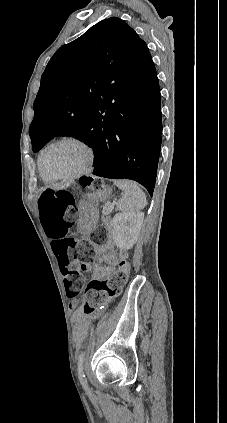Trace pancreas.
<instances>
[{
  "label": "pancreas",
  "instance_id": "cf45deb5",
  "mask_svg": "<svg viewBox=\"0 0 227 423\" xmlns=\"http://www.w3.org/2000/svg\"><path fill=\"white\" fill-rule=\"evenodd\" d=\"M111 210H109L108 206H103L102 213H110Z\"/></svg>",
  "mask_w": 227,
  "mask_h": 423
}]
</instances>
